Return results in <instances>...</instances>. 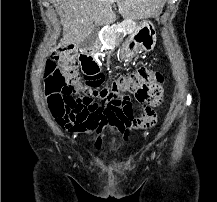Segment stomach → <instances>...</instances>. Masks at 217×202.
Masks as SVG:
<instances>
[{"label":"stomach","mask_w":217,"mask_h":202,"mask_svg":"<svg viewBox=\"0 0 217 202\" xmlns=\"http://www.w3.org/2000/svg\"><path fill=\"white\" fill-rule=\"evenodd\" d=\"M156 44V30L150 20H142L133 34L121 46V58L131 60L138 52H152Z\"/></svg>","instance_id":"0dacf381"}]
</instances>
